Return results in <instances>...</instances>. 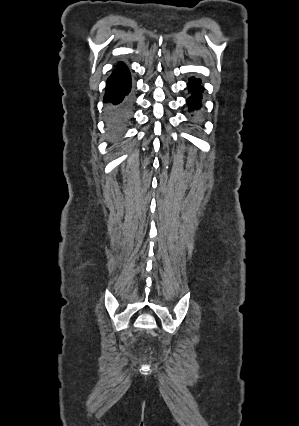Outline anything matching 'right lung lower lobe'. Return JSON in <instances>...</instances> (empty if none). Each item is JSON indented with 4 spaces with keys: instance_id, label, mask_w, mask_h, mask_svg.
Segmentation results:
<instances>
[{
    "instance_id": "right-lung-lower-lobe-1",
    "label": "right lung lower lobe",
    "mask_w": 299,
    "mask_h": 426,
    "mask_svg": "<svg viewBox=\"0 0 299 426\" xmlns=\"http://www.w3.org/2000/svg\"><path fill=\"white\" fill-rule=\"evenodd\" d=\"M130 90V73L124 64L119 63L107 80L103 100L107 103V122L113 131L123 130L131 118L133 99Z\"/></svg>"
}]
</instances>
